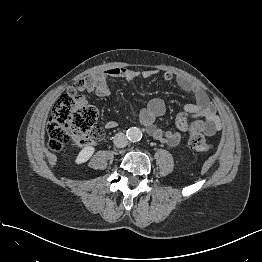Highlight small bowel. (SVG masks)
<instances>
[{
    "instance_id": "c3829d8e",
    "label": "small bowel",
    "mask_w": 262,
    "mask_h": 262,
    "mask_svg": "<svg viewBox=\"0 0 262 262\" xmlns=\"http://www.w3.org/2000/svg\"><path fill=\"white\" fill-rule=\"evenodd\" d=\"M153 74L152 70L135 71L115 66L107 68L102 73L88 76L73 89L74 91H94L99 96L106 97L110 93V81L113 79L129 82L137 78L147 79ZM174 79L173 73L164 74L165 81L170 82ZM177 84L182 91L191 95L194 102L187 104L183 112L176 117L175 130L165 132L155 125V121L164 114V102L158 98L150 100L138 113L139 122L146 128L147 133L154 139L174 147L181 141L182 132L197 130L207 136L219 132L222 129V120L203 89L185 76H180ZM190 119H192L191 122ZM117 126V120H110L105 124L106 129Z\"/></svg>"
}]
</instances>
